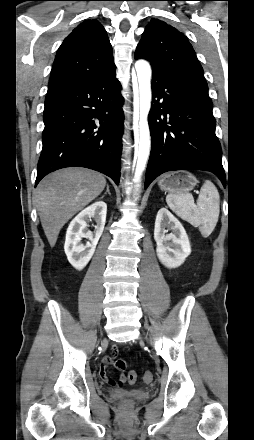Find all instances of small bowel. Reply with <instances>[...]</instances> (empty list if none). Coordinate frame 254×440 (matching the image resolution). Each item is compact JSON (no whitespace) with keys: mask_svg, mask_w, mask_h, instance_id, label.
Returning <instances> with one entry per match:
<instances>
[{"mask_svg":"<svg viewBox=\"0 0 254 440\" xmlns=\"http://www.w3.org/2000/svg\"><path fill=\"white\" fill-rule=\"evenodd\" d=\"M118 350L116 347H113L110 351V354L104 357L101 361V369L99 371V376L106 382L112 385H115L116 382L108 377L107 368L111 365L114 356L117 354Z\"/></svg>","mask_w":254,"mask_h":440,"instance_id":"obj_1","label":"small bowel"}]
</instances>
